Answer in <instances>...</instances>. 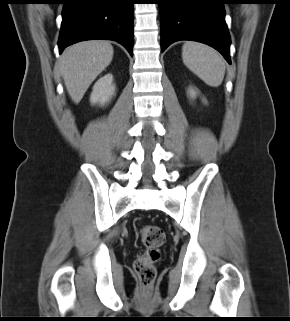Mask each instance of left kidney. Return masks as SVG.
I'll list each match as a JSON object with an SVG mask.
<instances>
[{
    "label": "left kidney",
    "instance_id": "5707ae66",
    "mask_svg": "<svg viewBox=\"0 0 290 321\" xmlns=\"http://www.w3.org/2000/svg\"><path fill=\"white\" fill-rule=\"evenodd\" d=\"M197 91L195 90V89H193V88H190L189 90H188V94H189V96L191 97V98H195L196 96H197Z\"/></svg>",
    "mask_w": 290,
    "mask_h": 321
}]
</instances>
